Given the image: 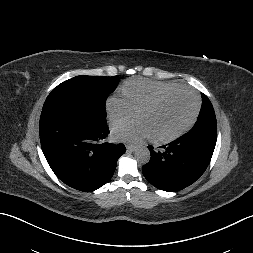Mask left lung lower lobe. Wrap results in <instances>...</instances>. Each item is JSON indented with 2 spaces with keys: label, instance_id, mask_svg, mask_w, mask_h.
I'll list each match as a JSON object with an SVG mask.
<instances>
[{
  "label": "left lung lower lobe",
  "instance_id": "obj_1",
  "mask_svg": "<svg viewBox=\"0 0 253 253\" xmlns=\"http://www.w3.org/2000/svg\"><path fill=\"white\" fill-rule=\"evenodd\" d=\"M216 139L192 133L185 134L160 151L148 146L151 159L143 166L145 178L156 188L176 192L194 183L211 160Z\"/></svg>",
  "mask_w": 253,
  "mask_h": 253
}]
</instances>
